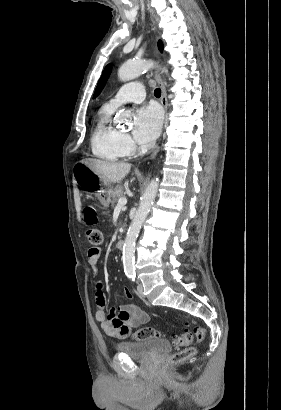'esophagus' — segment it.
<instances>
[{
    "instance_id": "obj_1",
    "label": "esophagus",
    "mask_w": 281,
    "mask_h": 410,
    "mask_svg": "<svg viewBox=\"0 0 281 410\" xmlns=\"http://www.w3.org/2000/svg\"><path fill=\"white\" fill-rule=\"evenodd\" d=\"M154 77H155L156 82L158 83V85H159L160 88H161V100H160V101H161V104H162V106H163V108H164V110H165L166 116H167L168 102H167V92H166V88H165L164 82H163V80H162L160 74L158 73V71L155 72ZM159 148H160V147L157 145V146L153 149V151H152V153H151V155H150V159H153V158L157 155V153L159 152Z\"/></svg>"
}]
</instances>
